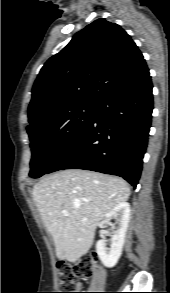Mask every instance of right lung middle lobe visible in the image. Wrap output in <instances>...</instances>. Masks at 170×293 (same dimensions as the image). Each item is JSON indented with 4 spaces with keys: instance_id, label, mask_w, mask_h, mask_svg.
<instances>
[{
    "instance_id": "obj_1",
    "label": "right lung middle lobe",
    "mask_w": 170,
    "mask_h": 293,
    "mask_svg": "<svg viewBox=\"0 0 170 293\" xmlns=\"http://www.w3.org/2000/svg\"><path fill=\"white\" fill-rule=\"evenodd\" d=\"M96 109L97 105H79L27 129L32 148L30 177L39 178L47 173L92 123Z\"/></svg>"
}]
</instances>
